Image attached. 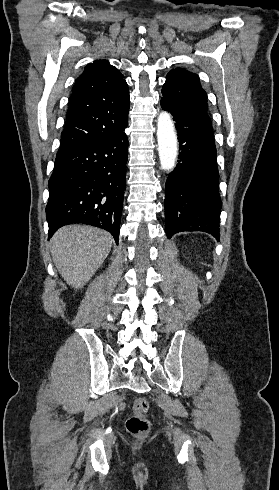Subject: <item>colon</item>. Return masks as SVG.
Returning <instances> with one entry per match:
<instances>
[{
  "mask_svg": "<svg viewBox=\"0 0 279 490\" xmlns=\"http://www.w3.org/2000/svg\"><path fill=\"white\" fill-rule=\"evenodd\" d=\"M148 401L144 397H136L133 401L131 414L126 421V427L131 435H134L135 442H146L149 422L146 418L148 411Z\"/></svg>",
  "mask_w": 279,
  "mask_h": 490,
  "instance_id": "colon-1",
  "label": "colon"
}]
</instances>
